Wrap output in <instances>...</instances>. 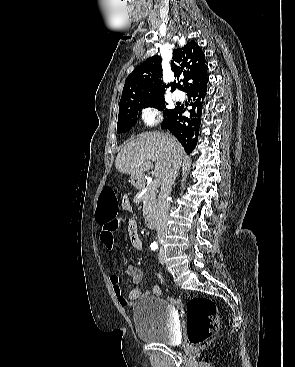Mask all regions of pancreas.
Returning a JSON list of instances; mask_svg holds the SVG:
<instances>
[{
  "label": "pancreas",
  "instance_id": "1",
  "mask_svg": "<svg viewBox=\"0 0 295 367\" xmlns=\"http://www.w3.org/2000/svg\"><path fill=\"white\" fill-rule=\"evenodd\" d=\"M143 192V193H142ZM142 195L140 196V194ZM136 199L143 202V215L154 213L157 208V187L150 184L148 187H142L137 194Z\"/></svg>",
  "mask_w": 295,
  "mask_h": 367
}]
</instances>
